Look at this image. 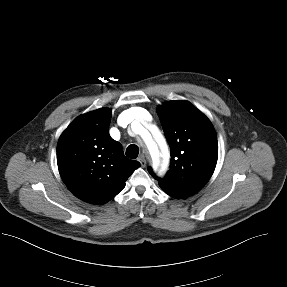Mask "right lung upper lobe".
<instances>
[{
    "instance_id": "cb5924a9",
    "label": "right lung upper lobe",
    "mask_w": 287,
    "mask_h": 287,
    "mask_svg": "<svg viewBox=\"0 0 287 287\" xmlns=\"http://www.w3.org/2000/svg\"><path fill=\"white\" fill-rule=\"evenodd\" d=\"M111 109L78 116L61 134L57 145L59 173L68 189L91 204H104L125 187L140 167L124 156L121 144L109 135Z\"/></svg>"
}]
</instances>
